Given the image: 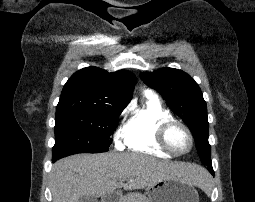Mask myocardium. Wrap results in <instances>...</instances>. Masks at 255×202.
Wrapping results in <instances>:
<instances>
[{
    "label": "myocardium",
    "instance_id": "1",
    "mask_svg": "<svg viewBox=\"0 0 255 202\" xmlns=\"http://www.w3.org/2000/svg\"><path fill=\"white\" fill-rule=\"evenodd\" d=\"M174 127H180L182 128L186 134L188 135L189 141H190V145L189 148L184 151V152H177L175 151L169 144L168 142V134L169 132L174 128ZM157 142L160 145V147L166 151L167 153H169L170 155L173 156H182L185 155L187 153H189L194 146V137L193 134L191 132V130L189 129V127L184 124L181 121L175 120V119H171V120H167L165 122H163L160 127L158 128L157 131Z\"/></svg>",
    "mask_w": 255,
    "mask_h": 202
}]
</instances>
